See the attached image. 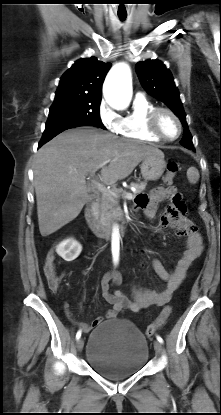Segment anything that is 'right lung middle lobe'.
Returning <instances> with one entry per match:
<instances>
[{
  "instance_id": "obj_1",
  "label": "right lung middle lobe",
  "mask_w": 221,
  "mask_h": 415,
  "mask_svg": "<svg viewBox=\"0 0 221 415\" xmlns=\"http://www.w3.org/2000/svg\"><path fill=\"white\" fill-rule=\"evenodd\" d=\"M101 97L82 94H56L47 122H84L106 129L101 122L99 106Z\"/></svg>"
}]
</instances>
